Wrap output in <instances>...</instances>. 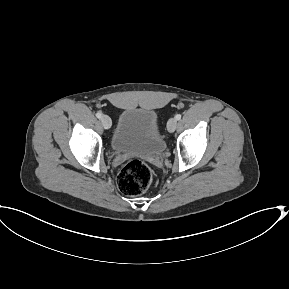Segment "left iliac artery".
<instances>
[{"instance_id":"1","label":"left iliac artery","mask_w":289,"mask_h":289,"mask_svg":"<svg viewBox=\"0 0 289 289\" xmlns=\"http://www.w3.org/2000/svg\"><path fill=\"white\" fill-rule=\"evenodd\" d=\"M181 116H182V115H181L180 113H177V114L175 115V119H176V120H180V119H181Z\"/></svg>"}]
</instances>
